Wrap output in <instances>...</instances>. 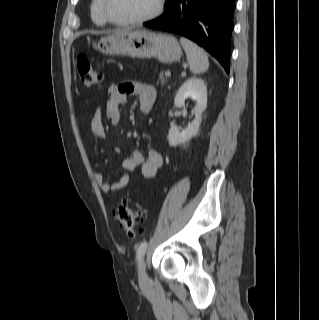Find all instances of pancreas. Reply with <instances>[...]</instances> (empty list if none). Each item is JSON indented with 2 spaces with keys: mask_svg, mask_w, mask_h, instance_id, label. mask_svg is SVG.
Masks as SVG:
<instances>
[{
  "mask_svg": "<svg viewBox=\"0 0 319 320\" xmlns=\"http://www.w3.org/2000/svg\"><path fill=\"white\" fill-rule=\"evenodd\" d=\"M159 80L161 82V84L163 85L165 82H167V78L164 76L163 72L159 73Z\"/></svg>",
  "mask_w": 319,
  "mask_h": 320,
  "instance_id": "obj_1",
  "label": "pancreas"
}]
</instances>
